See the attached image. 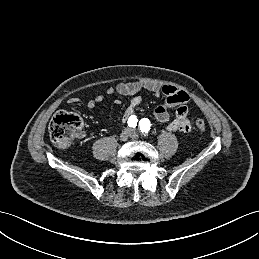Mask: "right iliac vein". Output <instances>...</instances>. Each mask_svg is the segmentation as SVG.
Returning <instances> with one entry per match:
<instances>
[{"instance_id": "obj_1", "label": "right iliac vein", "mask_w": 259, "mask_h": 259, "mask_svg": "<svg viewBox=\"0 0 259 259\" xmlns=\"http://www.w3.org/2000/svg\"><path fill=\"white\" fill-rule=\"evenodd\" d=\"M130 135H131V130L130 129H125L120 134V140L121 141H126L130 137Z\"/></svg>"}]
</instances>
